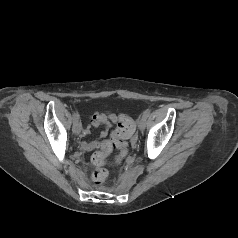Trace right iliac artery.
Returning <instances> with one entry per match:
<instances>
[{
	"label": "right iliac artery",
	"mask_w": 238,
	"mask_h": 238,
	"mask_svg": "<svg viewBox=\"0 0 238 238\" xmlns=\"http://www.w3.org/2000/svg\"><path fill=\"white\" fill-rule=\"evenodd\" d=\"M79 120V114L78 112L73 113V121Z\"/></svg>",
	"instance_id": "right-iliac-artery-1"
}]
</instances>
